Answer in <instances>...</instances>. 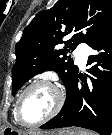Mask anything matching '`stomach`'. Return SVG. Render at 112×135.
Listing matches in <instances>:
<instances>
[{
	"instance_id": "0dacf381",
	"label": "stomach",
	"mask_w": 112,
	"mask_h": 135,
	"mask_svg": "<svg viewBox=\"0 0 112 135\" xmlns=\"http://www.w3.org/2000/svg\"><path fill=\"white\" fill-rule=\"evenodd\" d=\"M78 131L72 129L61 130L58 132H31L29 134L23 135H78ZM1 135H22V132L14 130L13 128H4V130L0 133Z\"/></svg>"
}]
</instances>
